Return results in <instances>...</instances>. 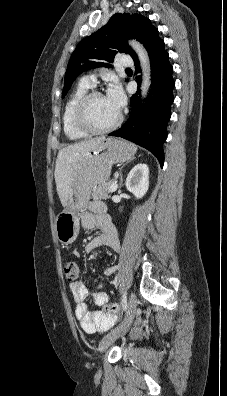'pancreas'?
<instances>
[{"instance_id": "1", "label": "pancreas", "mask_w": 227, "mask_h": 396, "mask_svg": "<svg viewBox=\"0 0 227 396\" xmlns=\"http://www.w3.org/2000/svg\"><path fill=\"white\" fill-rule=\"evenodd\" d=\"M116 181L115 180H109L105 183H102L96 187L93 188L92 190V197L95 199H103L107 200L110 198L109 194V189L114 184Z\"/></svg>"}]
</instances>
